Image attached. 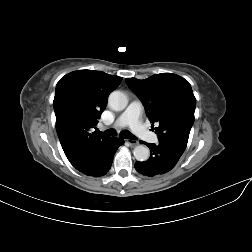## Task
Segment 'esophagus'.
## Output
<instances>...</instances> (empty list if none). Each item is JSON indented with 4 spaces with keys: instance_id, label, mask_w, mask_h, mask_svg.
<instances>
[{
    "instance_id": "obj_1",
    "label": "esophagus",
    "mask_w": 252,
    "mask_h": 252,
    "mask_svg": "<svg viewBox=\"0 0 252 252\" xmlns=\"http://www.w3.org/2000/svg\"><path fill=\"white\" fill-rule=\"evenodd\" d=\"M127 143H128L130 146H132V147H134V146H136V145L138 144V142H137L136 140H132V139H128V140H127Z\"/></svg>"
}]
</instances>
